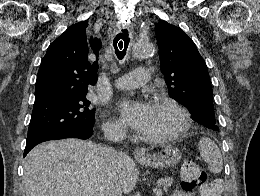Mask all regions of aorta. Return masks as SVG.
<instances>
[{
    "instance_id": "obj_1",
    "label": "aorta",
    "mask_w": 260,
    "mask_h": 196,
    "mask_svg": "<svg viewBox=\"0 0 260 196\" xmlns=\"http://www.w3.org/2000/svg\"><path fill=\"white\" fill-rule=\"evenodd\" d=\"M154 47L152 44L147 42H139L133 49V56L135 58H145L154 54Z\"/></svg>"
}]
</instances>
